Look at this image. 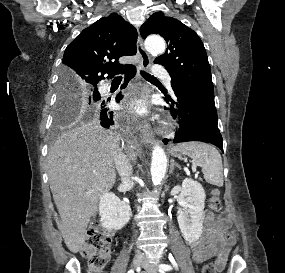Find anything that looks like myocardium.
I'll use <instances>...</instances> for the list:
<instances>
[{"instance_id": "myocardium-1", "label": "myocardium", "mask_w": 285, "mask_h": 273, "mask_svg": "<svg viewBox=\"0 0 285 273\" xmlns=\"http://www.w3.org/2000/svg\"><path fill=\"white\" fill-rule=\"evenodd\" d=\"M168 129H169V127H168L167 125H165V126L162 128V131H163V132H166V131H168Z\"/></svg>"}]
</instances>
